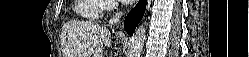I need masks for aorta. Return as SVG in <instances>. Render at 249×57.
<instances>
[{"mask_svg": "<svg viewBox=\"0 0 249 57\" xmlns=\"http://www.w3.org/2000/svg\"><path fill=\"white\" fill-rule=\"evenodd\" d=\"M146 41V28L143 24L138 26L130 39L129 57H140Z\"/></svg>", "mask_w": 249, "mask_h": 57, "instance_id": "1", "label": "aorta"}]
</instances>
